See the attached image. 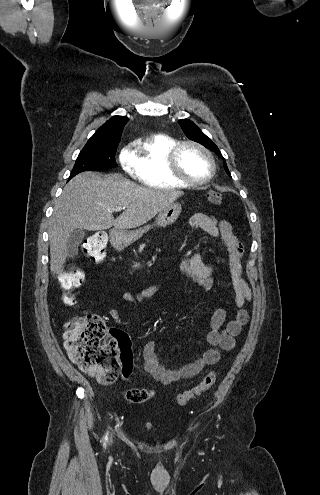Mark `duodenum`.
<instances>
[{"mask_svg":"<svg viewBox=\"0 0 320 495\" xmlns=\"http://www.w3.org/2000/svg\"><path fill=\"white\" fill-rule=\"evenodd\" d=\"M113 240L117 245H120V240L117 236H113Z\"/></svg>","mask_w":320,"mask_h":495,"instance_id":"1","label":"duodenum"}]
</instances>
